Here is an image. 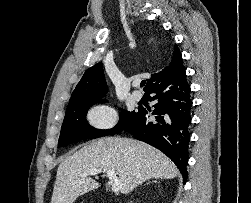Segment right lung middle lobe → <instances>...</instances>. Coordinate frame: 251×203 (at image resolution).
I'll return each instance as SVG.
<instances>
[{"mask_svg":"<svg viewBox=\"0 0 251 203\" xmlns=\"http://www.w3.org/2000/svg\"><path fill=\"white\" fill-rule=\"evenodd\" d=\"M98 102H104V100L84 101L68 105L61 128L58 147L67 146L78 140L116 134L137 114L135 111H122L119 116V122L114 128L109 130L95 129L88 124L86 115L88 108Z\"/></svg>","mask_w":251,"mask_h":203,"instance_id":"obj_1","label":"right lung middle lobe"}]
</instances>
